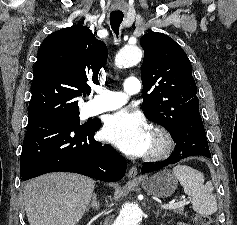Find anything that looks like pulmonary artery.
I'll return each instance as SVG.
<instances>
[{
	"instance_id": "obj_1",
	"label": "pulmonary artery",
	"mask_w": 237,
	"mask_h": 225,
	"mask_svg": "<svg viewBox=\"0 0 237 225\" xmlns=\"http://www.w3.org/2000/svg\"><path fill=\"white\" fill-rule=\"evenodd\" d=\"M140 91V82L136 77H128L124 83L123 92L97 90L96 96L87 103V113L90 116L116 110L122 107L130 95Z\"/></svg>"
}]
</instances>
